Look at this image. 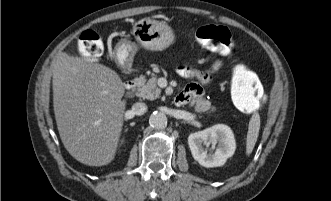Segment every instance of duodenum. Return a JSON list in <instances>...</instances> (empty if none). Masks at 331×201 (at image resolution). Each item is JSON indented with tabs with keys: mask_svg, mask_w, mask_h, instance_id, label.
<instances>
[{
	"mask_svg": "<svg viewBox=\"0 0 331 201\" xmlns=\"http://www.w3.org/2000/svg\"><path fill=\"white\" fill-rule=\"evenodd\" d=\"M136 84H137V81H136L134 78H131V79H128V80L124 83V86H125V88H126L127 90L130 91V90H133V89L135 88ZM178 101H179V98H178V96H177L176 99H175V102L178 103Z\"/></svg>",
	"mask_w": 331,
	"mask_h": 201,
	"instance_id": "duodenum-1",
	"label": "duodenum"
}]
</instances>
